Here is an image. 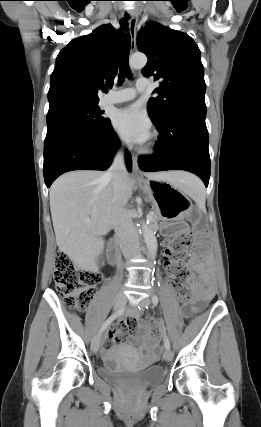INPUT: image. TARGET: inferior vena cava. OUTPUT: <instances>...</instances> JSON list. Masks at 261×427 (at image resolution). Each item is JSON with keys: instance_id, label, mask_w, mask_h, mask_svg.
Masks as SVG:
<instances>
[{"instance_id": "inferior-vena-cava-1", "label": "inferior vena cava", "mask_w": 261, "mask_h": 427, "mask_svg": "<svg viewBox=\"0 0 261 427\" xmlns=\"http://www.w3.org/2000/svg\"><path fill=\"white\" fill-rule=\"evenodd\" d=\"M105 176L111 179L114 190L112 225L120 239L122 253L129 260L137 253L138 233L126 209L128 202L126 193L128 173L123 150L116 153Z\"/></svg>"}]
</instances>
